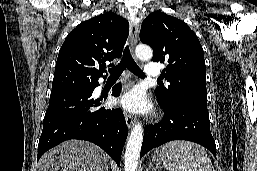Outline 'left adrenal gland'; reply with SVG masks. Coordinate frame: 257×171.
Masks as SVG:
<instances>
[{
  "label": "left adrenal gland",
  "mask_w": 257,
  "mask_h": 171,
  "mask_svg": "<svg viewBox=\"0 0 257 171\" xmlns=\"http://www.w3.org/2000/svg\"><path fill=\"white\" fill-rule=\"evenodd\" d=\"M151 169H152L153 171H156V168H154V167L152 166V164L149 165L147 171H150Z\"/></svg>",
  "instance_id": "1"
}]
</instances>
